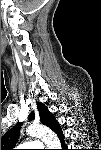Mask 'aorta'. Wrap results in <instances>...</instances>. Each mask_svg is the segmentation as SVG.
<instances>
[{
	"label": "aorta",
	"instance_id": "obj_1",
	"mask_svg": "<svg viewBox=\"0 0 101 150\" xmlns=\"http://www.w3.org/2000/svg\"><path fill=\"white\" fill-rule=\"evenodd\" d=\"M26 132L29 136L41 138L49 149H58L61 146L56 134L46 126L33 124L26 129Z\"/></svg>",
	"mask_w": 101,
	"mask_h": 150
}]
</instances>
